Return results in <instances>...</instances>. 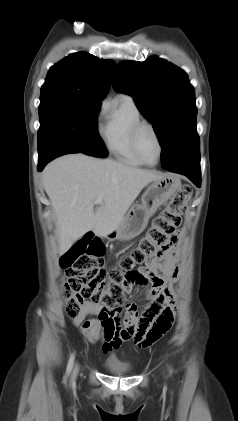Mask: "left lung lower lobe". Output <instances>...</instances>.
Instances as JSON below:
<instances>
[{"label": "left lung lower lobe", "instance_id": "left-lung-lower-lobe-1", "mask_svg": "<svg viewBox=\"0 0 238 421\" xmlns=\"http://www.w3.org/2000/svg\"><path fill=\"white\" fill-rule=\"evenodd\" d=\"M170 172L187 176L197 187H200V153L199 146L184 158L166 168Z\"/></svg>", "mask_w": 238, "mask_h": 421}]
</instances>
